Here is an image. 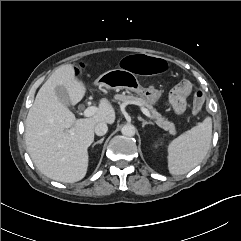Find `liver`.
Masks as SVG:
<instances>
[{"label":"liver","mask_w":241,"mask_h":241,"mask_svg":"<svg viewBox=\"0 0 241 241\" xmlns=\"http://www.w3.org/2000/svg\"><path fill=\"white\" fill-rule=\"evenodd\" d=\"M63 87L72 105L86 93L84 83L75 77L72 64L58 67L38 91L25 122L27 151L37 169L50 179L74 183L88 169V147L94 141V128L100 122L113 124L115 110L101 100L90 118L76 119L59 100L55 89ZM69 128L74 130L71 135Z\"/></svg>","instance_id":"6515ba94"}]
</instances>
